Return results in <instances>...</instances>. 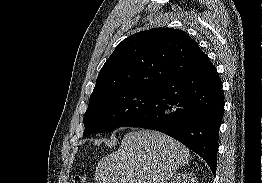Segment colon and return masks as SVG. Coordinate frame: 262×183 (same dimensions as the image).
I'll return each mask as SVG.
<instances>
[{"instance_id": "colon-1", "label": "colon", "mask_w": 262, "mask_h": 183, "mask_svg": "<svg viewBox=\"0 0 262 183\" xmlns=\"http://www.w3.org/2000/svg\"><path fill=\"white\" fill-rule=\"evenodd\" d=\"M73 183H89V182H88V179L86 177H84V176H77L74 179Z\"/></svg>"}]
</instances>
